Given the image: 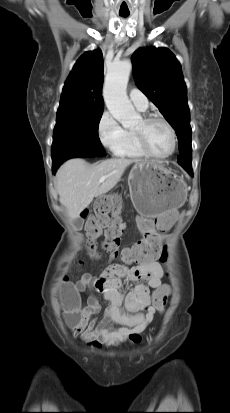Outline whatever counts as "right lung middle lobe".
I'll return each mask as SVG.
<instances>
[{
    "label": "right lung middle lobe",
    "instance_id": "obj_1",
    "mask_svg": "<svg viewBox=\"0 0 230 413\" xmlns=\"http://www.w3.org/2000/svg\"><path fill=\"white\" fill-rule=\"evenodd\" d=\"M101 116L57 117L51 149L53 164L74 157L105 156L98 136Z\"/></svg>",
    "mask_w": 230,
    "mask_h": 413
}]
</instances>
